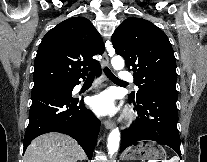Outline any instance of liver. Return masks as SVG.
Here are the masks:
<instances>
[{
	"mask_svg": "<svg viewBox=\"0 0 207 162\" xmlns=\"http://www.w3.org/2000/svg\"><path fill=\"white\" fill-rule=\"evenodd\" d=\"M85 152L73 138L61 133H46L35 138L25 151L24 162H77Z\"/></svg>",
	"mask_w": 207,
	"mask_h": 162,
	"instance_id": "obj_1",
	"label": "liver"
}]
</instances>
